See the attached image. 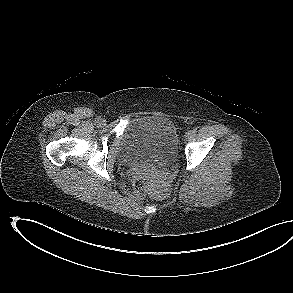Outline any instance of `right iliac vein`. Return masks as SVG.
<instances>
[{
	"label": "right iliac vein",
	"mask_w": 293,
	"mask_h": 293,
	"mask_svg": "<svg viewBox=\"0 0 293 293\" xmlns=\"http://www.w3.org/2000/svg\"><path fill=\"white\" fill-rule=\"evenodd\" d=\"M99 123H100L101 125H105V124H106V121L103 120V119H101V120L99 121Z\"/></svg>",
	"instance_id": "63e3f726"
}]
</instances>
